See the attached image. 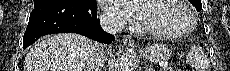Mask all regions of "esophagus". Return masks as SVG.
<instances>
[{"label":"esophagus","mask_w":230,"mask_h":71,"mask_svg":"<svg viewBox=\"0 0 230 71\" xmlns=\"http://www.w3.org/2000/svg\"><path fill=\"white\" fill-rule=\"evenodd\" d=\"M122 42L128 46H134L135 43L134 39L130 35H124L122 37Z\"/></svg>","instance_id":"esophagus-1"}]
</instances>
